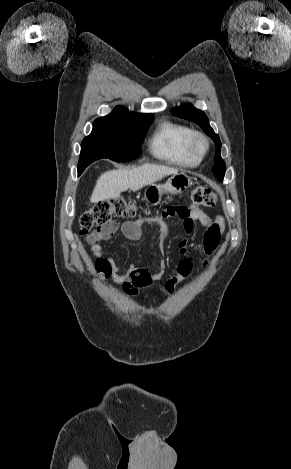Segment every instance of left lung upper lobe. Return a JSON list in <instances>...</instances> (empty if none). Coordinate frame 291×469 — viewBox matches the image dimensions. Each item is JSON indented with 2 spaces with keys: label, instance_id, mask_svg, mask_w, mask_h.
Returning a JSON list of instances; mask_svg holds the SVG:
<instances>
[{
  "label": "left lung upper lobe",
  "instance_id": "obj_1",
  "mask_svg": "<svg viewBox=\"0 0 291 469\" xmlns=\"http://www.w3.org/2000/svg\"><path fill=\"white\" fill-rule=\"evenodd\" d=\"M172 112L174 115L180 118H184V119L197 123L198 125L201 126L204 132L213 139L216 145V157H215V165L212 171L216 175L218 180L222 181L224 178L226 165L220 155L221 142H220L219 136L214 132V130L209 125V120L206 114L203 111L196 109L191 104H184V105H181L180 107L173 108Z\"/></svg>",
  "mask_w": 291,
  "mask_h": 469
}]
</instances>
